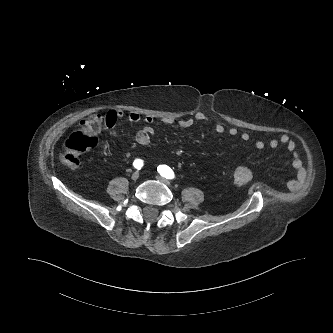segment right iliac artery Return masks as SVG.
I'll use <instances>...</instances> for the list:
<instances>
[{
	"label": "right iliac artery",
	"instance_id": "obj_1",
	"mask_svg": "<svg viewBox=\"0 0 333 333\" xmlns=\"http://www.w3.org/2000/svg\"><path fill=\"white\" fill-rule=\"evenodd\" d=\"M143 164H144V162H143V160H141V159H136V160H134V162H133V166H134L137 170H140V169L143 167Z\"/></svg>",
	"mask_w": 333,
	"mask_h": 333
}]
</instances>
